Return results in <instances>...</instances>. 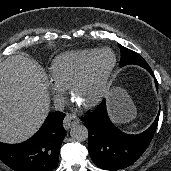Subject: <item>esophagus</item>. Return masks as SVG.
Masks as SVG:
<instances>
[{
  "label": "esophagus",
  "instance_id": "1",
  "mask_svg": "<svg viewBox=\"0 0 171 171\" xmlns=\"http://www.w3.org/2000/svg\"><path fill=\"white\" fill-rule=\"evenodd\" d=\"M80 122V119L70 113H67L64 120H63V126L65 129H70L72 126L78 124Z\"/></svg>",
  "mask_w": 171,
  "mask_h": 171
}]
</instances>
